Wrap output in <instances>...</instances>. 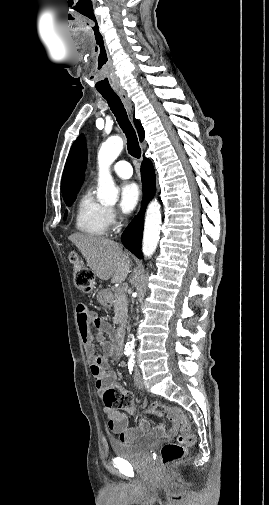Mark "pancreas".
Returning a JSON list of instances; mask_svg holds the SVG:
<instances>
[{
	"mask_svg": "<svg viewBox=\"0 0 269 505\" xmlns=\"http://www.w3.org/2000/svg\"><path fill=\"white\" fill-rule=\"evenodd\" d=\"M119 288L114 290V324L123 325L127 320V298L125 291L118 290Z\"/></svg>",
	"mask_w": 269,
	"mask_h": 505,
	"instance_id": "1",
	"label": "pancreas"
}]
</instances>
